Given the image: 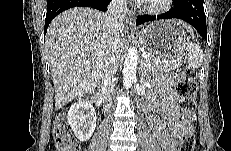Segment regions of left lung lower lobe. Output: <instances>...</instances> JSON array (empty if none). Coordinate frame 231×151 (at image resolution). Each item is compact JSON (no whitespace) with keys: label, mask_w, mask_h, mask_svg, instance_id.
Segmentation results:
<instances>
[{"label":"left lung lower lobe","mask_w":231,"mask_h":151,"mask_svg":"<svg viewBox=\"0 0 231 151\" xmlns=\"http://www.w3.org/2000/svg\"><path fill=\"white\" fill-rule=\"evenodd\" d=\"M203 2L204 0H180L179 5L173 7L167 13L158 16H138L136 23L139 25L156 19H182L194 26L198 33L207 41L206 17Z\"/></svg>","instance_id":"1"}]
</instances>
